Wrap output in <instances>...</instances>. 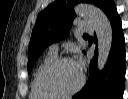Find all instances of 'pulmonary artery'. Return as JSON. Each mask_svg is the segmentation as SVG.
<instances>
[{"mask_svg": "<svg viewBox=\"0 0 128 99\" xmlns=\"http://www.w3.org/2000/svg\"><path fill=\"white\" fill-rule=\"evenodd\" d=\"M78 28L80 31H85V32H93L94 31L93 25L88 22H79ZM50 51L56 53L58 51V45L52 44L50 46Z\"/></svg>", "mask_w": 128, "mask_h": 99, "instance_id": "e3ab8cb5", "label": "pulmonary artery"}]
</instances>
